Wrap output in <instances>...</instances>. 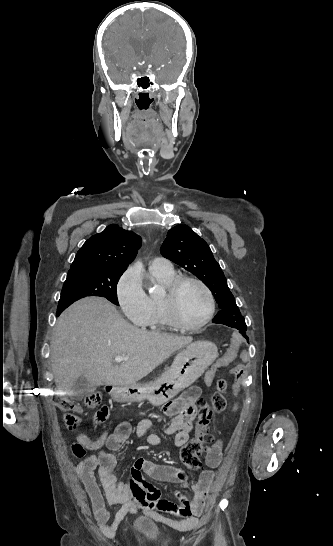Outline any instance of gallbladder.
<instances>
[{"label":"gallbladder","instance_id":"gallbladder-1","mask_svg":"<svg viewBox=\"0 0 333 546\" xmlns=\"http://www.w3.org/2000/svg\"><path fill=\"white\" fill-rule=\"evenodd\" d=\"M95 390L96 388L84 376H80L74 384V392L78 400L83 399L88 392H94Z\"/></svg>","mask_w":333,"mask_h":546}]
</instances>
